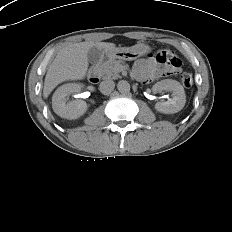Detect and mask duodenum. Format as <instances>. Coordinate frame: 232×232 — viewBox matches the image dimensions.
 Segmentation results:
<instances>
[{
	"label": "duodenum",
	"instance_id": "duodenum-1",
	"mask_svg": "<svg viewBox=\"0 0 232 232\" xmlns=\"http://www.w3.org/2000/svg\"><path fill=\"white\" fill-rule=\"evenodd\" d=\"M100 77V67L99 63L94 64L90 67L88 71V79L91 83H97Z\"/></svg>",
	"mask_w": 232,
	"mask_h": 232
}]
</instances>
